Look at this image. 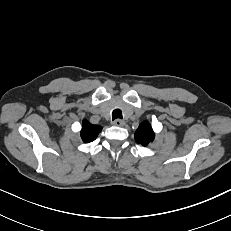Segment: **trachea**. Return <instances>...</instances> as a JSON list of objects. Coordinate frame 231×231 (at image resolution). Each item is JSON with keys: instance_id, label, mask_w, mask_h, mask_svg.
Segmentation results:
<instances>
[{"instance_id": "trachea-1", "label": "trachea", "mask_w": 231, "mask_h": 231, "mask_svg": "<svg viewBox=\"0 0 231 231\" xmlns=\"http://www.w3.org/2000/svg\"><path fill=\"white\" fill-rule=\"evenodd\" d=\"M122 119V112L121 110L119 109H115L112 113V119L115 120V119Z\"/></svg>"}]
</instances>
